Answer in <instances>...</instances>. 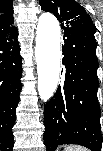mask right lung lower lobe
<instances>
[{
    "label": "right lung lower lobe",
    "mask_w": 103,
    "mask_h": 151,
    "mask_svg": "<svg viewBox=\"0 0 103 151\" xmlns=\"http://www.w3.org/2000/svg\"><path fill=\"white\" fill-rule=\"evenodd\" d=\"M18 31L0 35V149L13 150L12 127L21 92L22 58Z\"/></svg>",
    "instance_id": "1"
}]
</instances>
